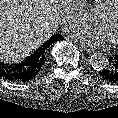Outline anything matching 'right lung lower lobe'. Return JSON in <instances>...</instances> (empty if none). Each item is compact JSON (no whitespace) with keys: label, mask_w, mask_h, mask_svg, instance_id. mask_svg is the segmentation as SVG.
I'll list each match as a JSON object with an SVG mask.
<instances>
[{"label":"right lung lower lobe","mask_w":118,"mask_h":118,"mask_svg":"<svg viewBox=\"0 0 118 118\" xmlns=\"http://www.w3.org/2000/svg\"><path fill=\"white\" fill-rule=\"evenodd\" d=\"M54 36L56 37V41L63 39V37L60 35H54ZM45 61L46 57L38 58L34 57V55H31L25 61L18 64L8 65L0 62V75L10 81H15V82L29 81L39 73Z\"/></svg>","instance_id":"1"}]
</instances>
